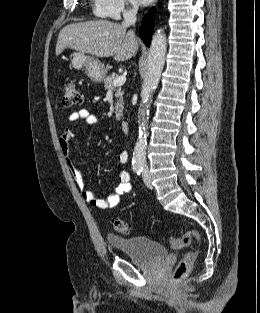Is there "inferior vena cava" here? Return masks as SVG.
I'll return each mask as SVG.
<instances>
[{"label": "inferior vena cava", "mask_w": 260, "mask_h": 313, "mask_svg": "<svg viewBox=\"0 0 260 313\" xmlns=\"http://www.w3.org/2000/svg\"><path fill=\"white\" fill-rule=\"evenodd\" d=\"M137 7L134 6L132 9L123 12L124 21L123 26L128 27L136 23Z\"/></svg>", "instance_id": "1"}]
</instances>
